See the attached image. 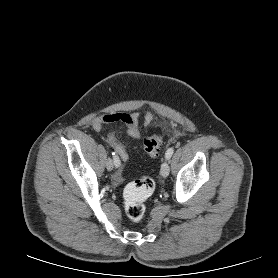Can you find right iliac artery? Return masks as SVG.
Returning <instances> with one entry per match:
<instances>
[{
    "label": "right iliac artery",
    "instance_id": "1",
    "mask_svg": "<svg viewBox=\"0 0 278 278\" xmlns=\"http://www.w3.org/2000/svg\"><path fill=\"white\" fill-rule=\"evenodd\" d=\"M112 155H113V162H114V165H115L116 167H119V166H120V159L117 157V155H115L114 152L112 153Z\"/></svg>",
    "mask_w": 278,
    "mask_h": 278
}]
</instances>
